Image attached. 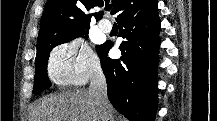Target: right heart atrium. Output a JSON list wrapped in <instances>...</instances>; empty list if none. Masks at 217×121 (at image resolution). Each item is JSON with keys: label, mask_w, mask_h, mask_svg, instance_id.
I'll list each match as a JSON object with an SVG mask.
<instances>
[{"label": "right heart atrium", "mask_w": 217, "mask_h": 121, "mask_svg": "<svg viewBox=\"0 0 217 121\" xmlns=\"http://www.w3.org/2000/svg\"><path fill=\"white\" fill-rule=\"evenodd\" d=\"M101 71L97 55L79 40L59 45L50 54L47 72L57 85H82Z\"/></svg>", "instance_id": "d8ad5b80"}]
</instances>
